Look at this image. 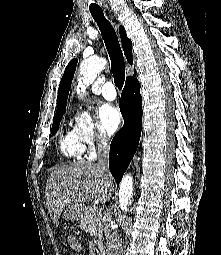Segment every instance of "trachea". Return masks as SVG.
Wrapping results in <instances>:
<instances>
[{
    "mask_svg": "<svg viewBox=\"0 0 221 255\" xmlns=\"http://www.w3.org/2000/svg\"><path fill=\"white\" fill-rule=\"evenodd\" d=\"M90 12L97 22L111 60V71L115 85L121 89L125 81V62L118 37L111 23L104 17L103 10L91 8Z\"/></svg>",
    "mask_w": 221,
    "mask_h": 255,
    "instance_id": "1",
    "label": "trachea"
}]
</instances>
